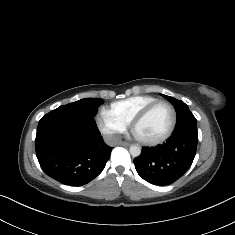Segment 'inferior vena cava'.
I'll list each match as a JSON object with an SVG mask.
<instances>
[{"instance_id": "obj_1", "label": "inferior vena cava", "mask_w": 235, "mask_h": 235, "mask_svg": "<svg viewBox=\"0 0 235 235\" xmlns=\"http://www.w3.org/2000/svg\"><path fill=\"white\" fill-rule=\"evenodd\" d=\"M104 141L109 146H115L121 141V138L117 134L105 135L104 136Z\"/></svg>"}]
</instances>
